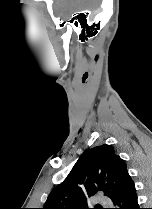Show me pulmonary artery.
I'll return each instance as SVG.
<instances>
[{
	"instance_id": "e3ab8cb5",
	"label": "pulmonary artery",
	"mask_w": 152,
	"mask_h": 209,
	"mask_svg": "<svg viewBox=\"0 0 152 209\" xmlns=\"http://www.w3.org/2000/svg\"><path fill=\"white\" fill-rule=\"evenodd\" d=\"M96 202L100 205H106V204H110L109 200L104 198V197H96Z\"/></svg>"
}]
</instances>
